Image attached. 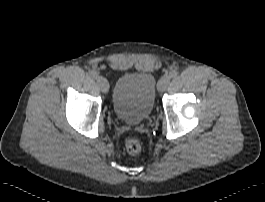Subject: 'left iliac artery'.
<instances>
[{
  "label": "left iliac artery",
  "mask_w": 265,
  "mask_h": 202,
  "mask_svg": "<svg viewBox=\"0 0 265 202\" xmlns=\"http://www.w3.org/2000/svg\"><path fill=\"white\" fill-rule=\"evenodd\" d=\"M177 75H178V71L177 70H172L170 72V77H172V78H175Z\"/></svg>",
  "instance_id": "44dca946"
}]
</instances>
